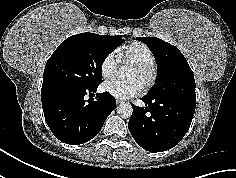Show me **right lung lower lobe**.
Wrapping results in <instances>:
<instances>
[{
    "instance_id": "right-lung-lower-lobe-1",
    "label": "right lung lower lobe",
    "mask_w": 236,
    "mask_h": 178,
    "mask_svg": "<svg viewBox=\"0 0 236 178\" xmlns=\"http://www.w3.org/2000/svg\"><path fill=\"white\" fill-rule=\"evenodd\" d=\"M96 88H75L66 85H44L41 89L42 108L47 125L60 141L69 145L83 144L102 128L116 107L115 99ZM95 99L85 100V95Z\"/></svg>"
}]
</instances>
